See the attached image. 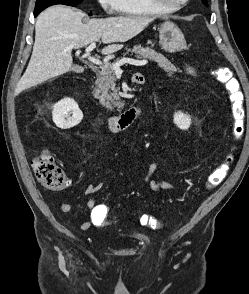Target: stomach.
I'll return each instance as SVG.
<instances>
[{"instance_id":"0dacf381","label":"stomach","mask_w":249,"mask_h":294,"mask_svg":"<svg viewBox=\"0 0 249 294\" xmlns=\"http://www.w3.org/2000/svg\"><path fill=\"white\" fill-rule=\"evenodd\" d=\"M159 44L170 53L186 48V40L182 31L172 22L166 21L159 27Z\"/></svg>"}]
</instances>
